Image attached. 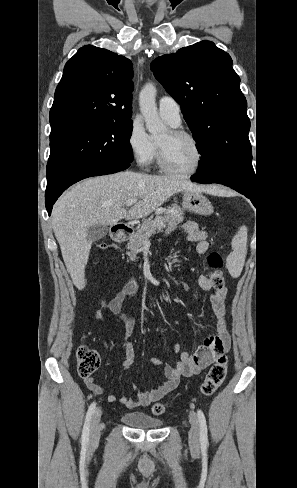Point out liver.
<instances>
[{"instance_id": "6515ba94", "label": "liver", "mask_w": 297, "mask_h": 488, "mask_svg": "<svg viewBox=\"0 0 297 488\" xmlns=\"http://www.w3.org/2000/svg\"><path fill=\"white\" fill-rule=\"evenodd\" d=\"M211 192L178 176H156L125 171L86 179L74 185L54 205L51 222L62 257L73 284L85 288V267L92 240L88 228L94 224L113 225L121 219H140L158 209L180 191ZM139 201L129 210L126 201Z\"/></svg>"}]
</instances>
